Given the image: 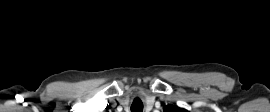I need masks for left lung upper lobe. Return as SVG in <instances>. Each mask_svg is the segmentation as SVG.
Returning a JSON list of instances; mask_svg holds the SVG:
<instances>
[{"label":"left lung upper lobe","instance_id":"obj_1","mask_svg":"<svg viewBox=\"0 0 270 112\" xmlns=\"http://www.w3.org/2000/svg\"><path fill=\"white\" fill-rule=\"evenodd\" d=\"M164 112H189V111L179 108L177 106L168 105L164 107Z\"/></svg>","mask_w":270,"mask_h":112}]
</instances>
